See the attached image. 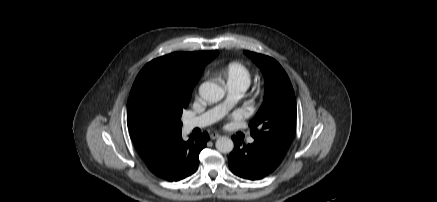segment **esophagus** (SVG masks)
<instances>
[{
	"label": "esophagus",
	"instance_id": "obj_1",
	"mask_svg": "<svg viewBox=\"0 0 437 202\" xmlns=\"http://www.w3.org/2000/svg\"><path fill=\"white\" fill-rule=\"evenodd\" d=\"M210 138L212 140L218 139V138H220V134H218V133H211L210 134Z\"/></svg>",
	"mask_w": 437,
	"mask_h": 202
}]
</instances>
